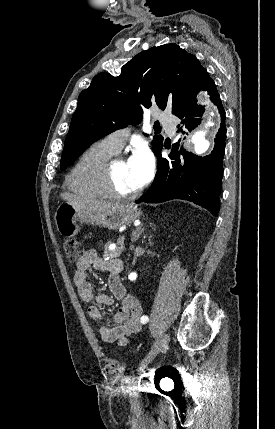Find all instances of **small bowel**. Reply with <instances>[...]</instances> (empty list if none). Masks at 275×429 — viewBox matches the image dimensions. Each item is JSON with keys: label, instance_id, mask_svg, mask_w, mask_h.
I'll return each instance as SVG.
<instances>
[{"label": "small bowel", "instance_id": "small-bowel-1", "mask_svg": "<svg viewBox=\"0 0 275 429\" xmlns=\"http://www.w3.org/2000/svg\"><path fill=\"white\" fill-rule=\"evenodd\" d=\"M118 260L104 259L98 256L95 250H87L77 261L74 274V284L78 289L81 299L89 303L88 315L96 322L104 321L105 316L100 307L111 306L115 300L121 304L113 315L114 326L103 324L99 333L104 342L116 343L119 346L128 344L130 338L141 328L140 317L142 307L139 300L126 292L124 285L118 277ZM90 268L105 271L109 274L108 285L112 295H95L92 284L87 279ZM95 304H92V303Z\"/></svg>", "mask_w": 275, "mask_h": 429}]
</instances>
